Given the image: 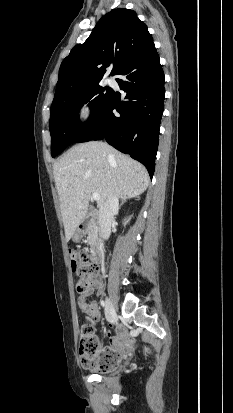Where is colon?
<instances>
[{"mask_svg":"<svg viewBox=\"0 0 233 413\" xmlns=\"http://www.w3.org/2000/svg\"><path fill=\"white\" fill-rule=\"evenodd\" d=\"M70 261L72 270L78 277L77 290L83 293L92 286L98 267L84 250H70ZM79 356L85 368L102 372L113 369L120 361V356L113 352L100 356L98 338L88 323L81 327Z\"/></svg>","mask_w":233,"mask_h":413,"instance_id":"1","label":"colon"}]
</instances>
